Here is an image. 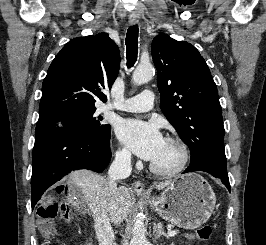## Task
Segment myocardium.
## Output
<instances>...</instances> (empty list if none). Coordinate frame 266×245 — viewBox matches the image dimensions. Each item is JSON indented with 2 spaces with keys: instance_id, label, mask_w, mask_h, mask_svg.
I'll list each match as a JSON object with an SVG mask.
<instances>
[{
  "instance_id": "obj_1",
  "label": "myocardium",
  "mask_w": 266,
  "mask_h": 245,
  "mask_svg": "<svg viewBox=\"0 0 266 245\" xmlns=\"http://www.w3.org/2000/svg\"><path fill=\"white\" fill-rule=\"evenodd\" d=\"M165 140L170 141V142H174L180 147L181 161H180L179 165L173 170L166 171V170L158 169L152 163H150L149 169L153 174H155L157 176L174 177V176L181 174L187 168V165L190 161V150H189L188 145L179 137L168 136Z\"/></svg>"
}]
</instances>
